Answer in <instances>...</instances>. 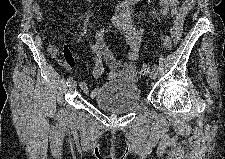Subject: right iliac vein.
Segmentation results:
<instances>
[{"instance_id": "63e3f726", "label": "right iliac vein", "mask_w": 225, "mask_h": 159, "mask_svg": "<svg viewBox=\"0 0 225 159\" xmlns=\"http://www.w3.org/2000/svg\"><path fill=\"white\" fill-rule=\"evenodd\" d=\"M76 89V82L72 81L71 85L69 86V91L73 92Z\"/></svg>"}]
</instances>
